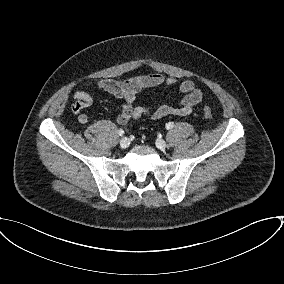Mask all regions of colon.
<instances>
[{
	"instance_id": "1",
	"label": "colon",
	"mask_w": 284,
	"mask_h": 284,
	"mask_svg": "<svg viewBox=\"0 0 284 284\" xmlns=\"http://www.w3.org/2000/svg\"><path fill=\"white\" fill-rule=\"evenodd\" d=\"M204 115L207 119H212V110L209 106L205 105L203 108Z\"/></svg>"
}]
</instances>
